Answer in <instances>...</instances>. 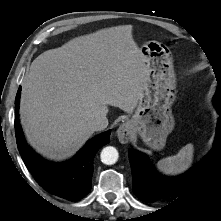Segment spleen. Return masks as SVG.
I'll return each mask as SVG.
<instances>
[{
    "label": "spleen",
    "mask_w": 221,
    "mask_h": 221,
    "mask_svg": "<svg viewBox=\"0 0 221 221\" xmlns=\"http://www.w3.org/2000/svg\"><path fill=\"white\" fill-rule=\"evenodd\" d=\"M193 145L187 144L174 156L161 159L157 167L165 174H179L186 171L193 161Z\"/></svg>",
    "instance_id": "obj_1"
}]
</instances>
